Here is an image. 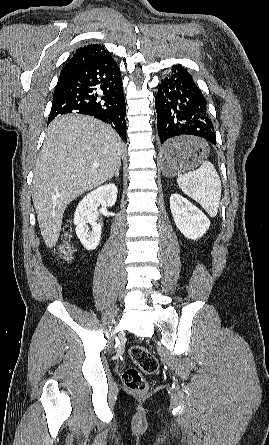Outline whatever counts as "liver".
Returning <instances> with one entry per match:
<instances>
[{"mask_svg": "<svg viewBox=\"0 0 269 445\" xmlns=\"http://www.w3.org/2000/svg\"><path fill=\"white\" fill-rule=\"evenodd\" d=\"M122 152L123 143L115 130L93 117L63 115L48 126L32 189L48 248L58 241L68 204L109 180L121 165Z\"/></svg>", "mask_w": 269, "mask_h": 445, "instance_id": "liver-1", "label": "liver"}]
</instances>
